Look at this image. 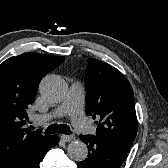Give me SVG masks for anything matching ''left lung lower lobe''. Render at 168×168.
<instances>
[{"label":"left lung lower lobe","instance_id":"1","mask_svg":"<svg viewBox=\"0 0 168 168\" xmlns=\"http://www.w3.org/2000/svg\"><path fill=\"white\" fill-rule=\"evenodd\" d=\"M88 146V157L78 162L79 168H119L129 150L104 138L94 135H80Z\"/></svg>","mask_w":168,"mask_h":168}]
</instances>
